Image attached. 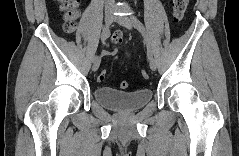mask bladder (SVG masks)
Segmentation results:
<instances>
[{"label": "bladder", "mask_w": 239, "mask_h": 156, "mask_svg": "<svg viewBox=\"0 0 239 156\" xmlns=\"http://www.w3.org/2000/svg\"><path fill=\"white\" fill-rule=\"evenodd\" d=\"M94 99L108 109L130 112L140 110L148 104L152 99V92L148 88L124 92L111 87H97L94 90Z\"/></svg>", "instance_id": "31cf9c89"}]
</instances>
